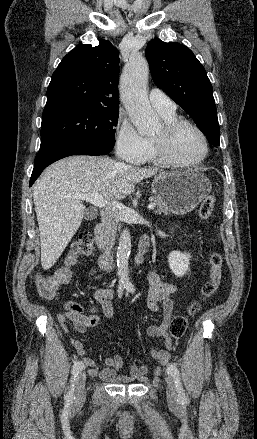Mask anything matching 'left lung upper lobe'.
<instances>
[{
	"instance_id": "1",
	"label": "left lung upper lobe",
	"mask_w": 257,
	"mask_h": 439,
	"mask_svg": "<svg viewBox=\"0 0 257 439\" xmlns=\"http://www.w3.org/2000/svg\"><path fill=\"white\" fill-rule=\"evenodd\" d=\"M145 55L154 83L193 118L211 145L220 146L212 85L193 52L179 43L153 39Z\"/></svg>"
}]
</instances>
